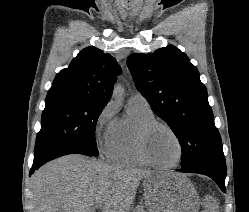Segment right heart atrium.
<instances>
[{
    "instance_id": "d8ad5b80",
    "label": "right heart atrium",
    "mask_w": 249,
    "mask_h": 212,
    "mask_svg": "<svg viewBox=\"0 0 249 212\" xmlns=\"http://www.w3.org/2000/svg\"><path fill=\"white\" fill-rule=\"evenodd\" d=\"M116 108L113 102H108L98 113L94 121V138L99 149L107 153L113 139Z\"/></svg>"
}]
</instances>
